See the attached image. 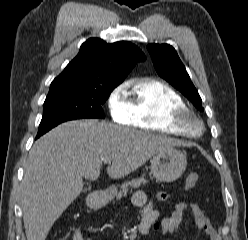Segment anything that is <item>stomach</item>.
Segmentation results:
<instances>
[{"mask_svg": "<svg viewBox=\"0 0 248 240\" xmlns=\"http://www.w3.org/2000/svg\"><path fill=\"white\" fill-rule=\"evenodd\" d=\"M187 165L186 155L180 150L173 149L168 152L158 153L151 160V173L158 181L172 182L177 180L185 171ZM117 190L114 187L107 195L113 198Z\"/></svg>", "mask_w": 248, "mask_h": 240, "instance_id": "stomach-1", "label": "stomach"}]
</instances>
